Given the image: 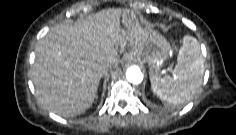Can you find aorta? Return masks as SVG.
Instances as JSON below:
<instances>
[{"instance_id":"762f6f07","label":"aorta","mask_w":236,"mask_h":135,"mask_svg":"<svg viewBox=\"0 0 236 135\" xmlns=\"http://www.w3.org/2000/svg\"><path fill=\"white\" fill-rule=\"evenodd\" d=\"M143 78V73L138 66L133 65L126 70V79L133 84L141 83Z\"/></svg>"}]
</instances>
